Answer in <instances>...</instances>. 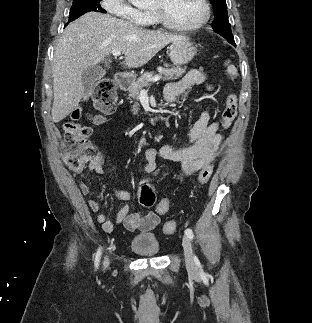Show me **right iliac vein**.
<instances>
[{"label": "right iliac vein", "mask_w": 312, "mask_h": 323, "mask_svg": "<svg viewBox=\"0 0 312 323\" xmlns=\"http://www.w3.org/2000/svg\"><path fill=\"white\" fill-rule=\"evenodd\" d=\"M109 265V260L107 257H105V260H104V267L106 268L107 266Z\"/></svg>", "instance_id": "63e3f726"}]
</instances>
